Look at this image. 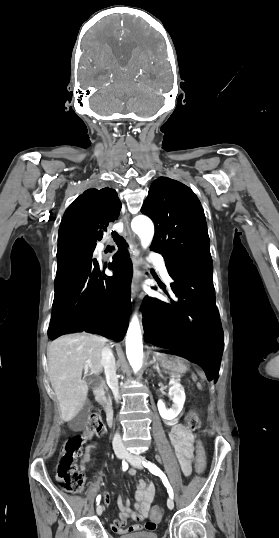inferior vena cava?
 I'll return each instance as SVG.
<instances>
[{"label":"inferior vena cava","mask_w":279,"mask_h":538,"mask_svg":"<svg viewBox=\"0 0 279 538\" xmlns=\"http://www.w3.org/2000/svg\"><path fill=\"white\" fill-rule=\"evenodd\" d=\"M102 350V363L103 367L105 369V374L107 378V384L112 386V391L115 396V399L120 398L118 396V379L117 375L115 374V361H111V358L113 357L110 349L103 348ZM105 360V361H104ZM113 448L115 451V454L119 458H127L129 454L125 452L126 447H124L120 435L116 434L113 440Z\"/></svg>","instance_id":"obj_1"}]
</instances>
